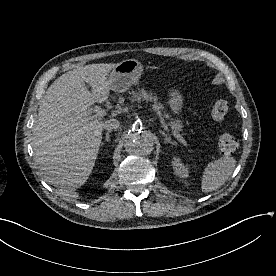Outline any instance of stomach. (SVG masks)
Instances as JSON below:
<instances>
[{"label": "stomach", "instance_id": "stomach-1", "mask_svg": "<svg viewBox=\"0 0 276 276\" xmlns=\"http://www.w3.org/2000/svg\"><path fill=\"white\" fill-rule=\"evenodd\" d=\"M143 65L136 59H127L118 63L110 75V88L115 92H125L130 86L139 83L143 74ZM171 110L179 113L183 106V97L176 89L170 91L168 101Z\"/></svg>", "mask_w": 276, "mask_h": 276}]
</instances>
